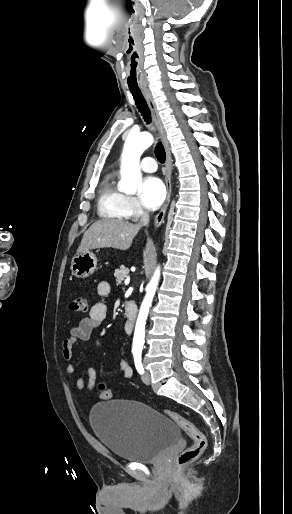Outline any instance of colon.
Returning a JSON list of instances; mask_svg holds the SVG:
<instances>
[{
  "label": "colon",
  "mask_w": 292,
  "mask_h": 514,
  "mask_svg": "<svg viewBox=\"0 0 292 514\" xmlns=\"http://www.w3.org/2000/svg\"><path fill=\"white\" fill-rule=\"evenodd\" d=\"M87 308V301L83 297L72 299L68 305V310L72 313L86 312ZM98 396L102 400H110L113 398L111 389L104 383H100L98 385ZM164 413L169 419L183 429L192 440V444L179 453V464H186L197 460L207 447L205 434L192 421L185 418L180 413L171 410H166Z\"/></svg>",
  "instance_id": "obj_1"
}]
</instances>
